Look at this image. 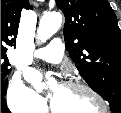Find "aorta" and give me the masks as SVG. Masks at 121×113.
I'll use <instances>...</instances> for the list:
<instances>
[{
	"mask_svg": "<svg viewBox=\"0 0 121 113\" xmlns=\"http://www.w3.org/2000/svg\"><path fill=\"white\" fill-rule=\"evenodd\" d=\"M62 24V15L59 12L46 13L42 16L37 36L41 42H45L54 35Z\"/></svg>",
	"mask_w": 121,
	"mask_h": 113,
	"instance_id": "1",
	"label": "aorta"
}]
</instances>
